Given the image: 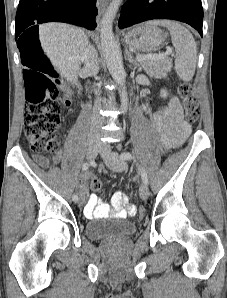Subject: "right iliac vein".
Here are the masks:
<instances>
[{
  "instance_id": "63e3f726",
  "label": "right iliac vein",
  "mask_w": 227,
  "mask_h": 298,
  "mask_svg": "<svg viewBox=\"0 0 227 298\" xmlns=\"http://www.w3.org/2000/svg\"><path fill=\"white\" fill-rule=\"evenodd\" d=\"M100 149H101V146L98 142H90L87 149V159L89 161H93L96 158ZM85 202H86L85 196H80L79 200L77 201L78 206H83Z\"/></svg>"
}]
</instances>
